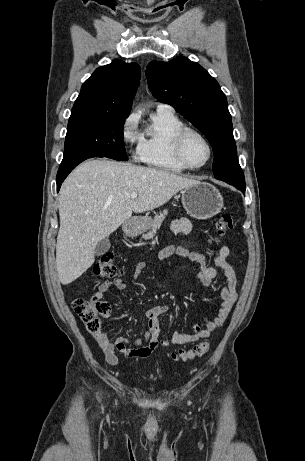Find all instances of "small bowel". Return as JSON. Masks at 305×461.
<instances>
[{
	"label": "small bowel",
	"mask_w": 305,
	"mask_h": 461,
	"mask_svg": "<svg viewBox=\"0 0 305 461\" xmlns=\"http://www.w3.org/2000/svg\"><path fill=\"white\" fill-rule=\"evenodd\" d=\"M171 229L175 233H190L192 223L186 218L176 219L172 222ZM229 255L230 248L227 245L222 246L211 259L182 246H167L163 248L158 255L161 260L172 256H179L197 263L200 269L197 277L207 288L212 286L219 271L223 273L226 282L219 289L221 304L218 312L204 327L196 325L190 332H174L170 335V340H166L161 338L165 332L160 326L159 318L169 311V307L166 304L150 307L146 311L148 330L143 338L134 340L125 337L112 338L106 331L95 334V339L102 349L107 363L112 366L118 365L119 359L116 351L127 357H147L158 346L167 347L170 343L175 345L194 343L209 337L213 331L220 328L230 315L238 297L237 273L235 267L228 260ZM145 267L146 263L144 261L138 262L133 271V278L138 279ZM112 286L121 291L127 289V284L122 279L114 281L106 280L99 285L98 291L94 296L101 299L104 293Z\"/></svg>",
	"instance_id": "obj_1"
}]
</instances>
